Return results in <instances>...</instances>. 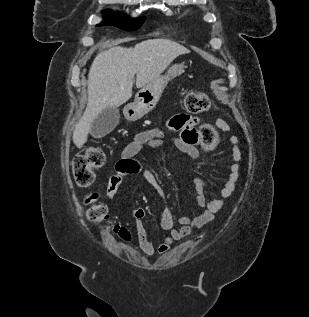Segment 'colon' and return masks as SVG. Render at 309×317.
<instances>
[{
    "instance_id": "5ec220e1",
    "label": "colon",
    "mask_w": 309,
    "mask_h": 317,
    "mask_svg": "<svg viewBox=\"0 0 309 317\" xmlns=\"http://www.w3.org/2000/svg\"><path fill=\"white\" fill-rule=\"evenodd\" d=\"M183 106L190 113H202L209 109L210 100L204 93L191 92L183 99ZM201 141L208 149L214 148L218 143V134L211 125L203 126L200 130ZM105 162V153L98 146H92L87 149L84 155L77 156L73 160L72 170L76 183L80 187H90L94 180V170L103 166ZM97 193H89L85 197V203L89 206L87 216L89 220L96 224H106L108 222L107 210L104 206L97 203ZM123 237H126L124 231L115 228Z\"/></svg>"
}]
</instances>
